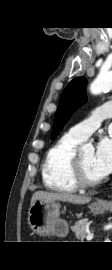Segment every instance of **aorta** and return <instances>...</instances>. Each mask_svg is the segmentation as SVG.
I'll list each match as a JSON object with an SVG mask.
<instances>
[{
  "label": "aorta",
  "mask_w": 112,
  "mask_h": 270,
  "mask_svg": "<svg viewBox=\"0 0 112 270\" xmlns=\"http://www.w3.org/2000/svg\"><path fill=\"white\" fill-rule=\"evenodd\" d=\"M112 89V71L107 73H100L90 85V92L93 95H98L105 90ZM83 153H94L92 144H85L81 148Z\"/></svg>",
  "instance_id": "obj_1"
}]
</instances>
